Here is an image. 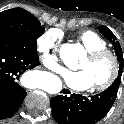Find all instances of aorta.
I'll use <instances>...</instances> for the list:
<instances>
[{
  "label": "aorta",
  "instance_id": "obj_1",
  "mask_svg": "<svg viewBox=\"0 0 124 124\" xmlns=\"http://www.w3.org/2000/svg\"><path fill=\"white\" fill-rule=\"evenodd\" d=\"M68 51L70 52V55L74 59L80 58L84 54V50L80 47L78 49V52L73 51V46H69ZM62 89V82L61 80L56 76H51L44 84H43V90L50 94H56L60 92Z\"/></svg>",
  "mask_w": 124,
  "mask_h": 124
}]
</instances>
